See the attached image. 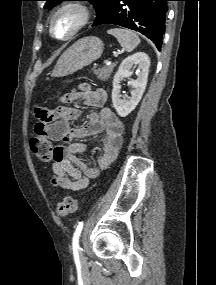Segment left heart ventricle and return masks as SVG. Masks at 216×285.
Returning a JSON list of instances; mask_svg holds the SVG:
<instances>
[{"instance_id":"left-heart-ventricle-1","label":"left heart ventricle","mask_w":216,"mask_h":285,"mask_svg":"<svg viewBox=\"0 0 216 285\" xmlns=\"http://www.w3.org/2000/svg\"><path fill=\"white\" fill-rule=\"evenodd\" d=\"M78 23V15L73 11H66L60 14L54 21V33L63 37L67 35Z\"/></svg>"}]
</instances>
